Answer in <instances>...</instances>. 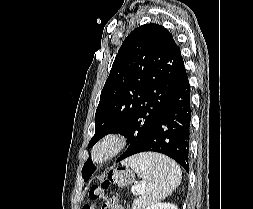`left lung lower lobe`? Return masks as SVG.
<instances>
[{
    "mask_svg": "<svg viewBox=\"0 0 253 209\" xmlns=\"http://www.w3.org/2000/svg\"><path fill=\"white\" fill-rule=\"evenodd\" d=\"M190 121V86L183 68L167 108L136 153L153 151L165 154L188 172Z\"/></svg>",
    "mask_w": 253,
    "mask_h": 209,
    "instance_id": "0a47b994",
    "label": "left lung lower lobe"
}]
</instances>
